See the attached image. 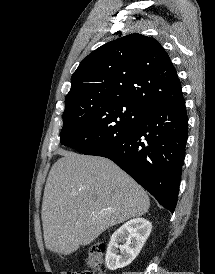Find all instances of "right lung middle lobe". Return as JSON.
Listing matches in <instances>:
<instances>
[{
  "label": "right lung middle lobe",
  "mask_w": 215,
  "mask_h": 274,
  "mask_svg": "<svg viewBox=\"0 0 215 274\" xmlns=\"http://www.w3.org/2000/svg\"><path fill=\"white\" fill-rule=\"evenodd\" d=\"M143 112L127 102H65L61 144L86 153L127 133Z\"/></svg>",
  "instance_id": "obj_1"
}]
</instances>
